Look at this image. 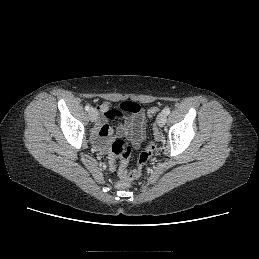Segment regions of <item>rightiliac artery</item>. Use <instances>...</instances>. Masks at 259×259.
I'll use <instances>...</instances> for the list:
<instances>
[{"label": "right iliac artery", "mask_w": 259, "mask_h": 259, "mask_svg": "<svg viewBox=\"0 0 259 259\" xmlns=\"http://www.w3.org/2000/svg\"><path fill=\"white\" fill-rule=\"evenodd\" d=\"M85 109H86V111H90V109H91L90 105H86Z\"/></svg>", "instance_id": "obj_1"}]
</instances>
